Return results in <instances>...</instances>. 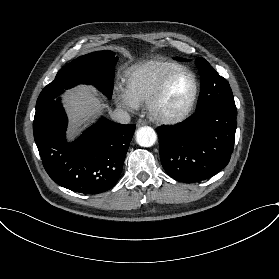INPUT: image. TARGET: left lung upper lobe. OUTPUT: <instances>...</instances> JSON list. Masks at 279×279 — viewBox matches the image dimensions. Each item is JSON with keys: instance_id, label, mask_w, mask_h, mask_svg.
Returning <instances> with one entry per match:
<instances>
[{"instance_id": "left-lung-upper-lobe-1", "label": "left lung upper lobe", "mask_w": 279, "mask_h": 279, "mask_svg": "<svg viewBox=\"0 0 279 279\" xmlns=\"http://www.w3.org/2000/svg\"><path fill=\"white\" fill-rule=\"evenodd\" d=\"M176 59L180 61H189L183 58ZM196 65L201 77V91L196 111L216 106L231 112H237L228 81L221 77L204 58H197Z\"/></svg>"}]
</instances>
